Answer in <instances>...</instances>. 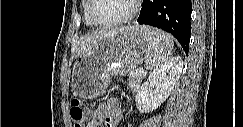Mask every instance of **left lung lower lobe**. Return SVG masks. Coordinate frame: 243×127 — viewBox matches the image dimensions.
<instances>
[{"mask_svg":"<svg viewBox=\"0 0 243 127\" xmlns=\"http://www.w3.org/2000/svg\"><path fill=\"white\" fill-rule=\"evenodd\" d=\"M191 11V0H144L137 22L171 33L188 54Z\"/></svg>","mask_w":243,"mask_h":127,"instance_id":"obj_1","label":"left lung lower lobe"}]
</instances>
